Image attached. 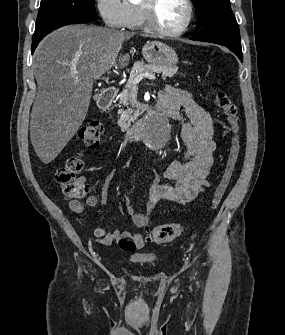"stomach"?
<instances>
[{"instance_id":"0dacf381","label":"stomach","mask_w":285,"mask_h":335,"mask_svg":"<svg viewBox=\"0 0 285 335\" xmlns=\"http://www.w3.org/2000/svg\"><path fill=\"white\" fill-rule=\"evenodd\" d=\"M142 56L149 64H157V66H168L173 68L178 64V56L170 46L163 42H148L142 48Z\"/></svg>"}]
</instances>
